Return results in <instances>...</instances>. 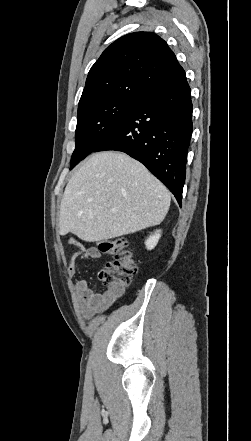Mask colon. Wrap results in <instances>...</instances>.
<instances>
[{"mask_svg":"<svg viewBox=\"0 0 251 441\" xmlns=\"http://www.w3.org/2000/svg\"><path fill=\"white\" fill-rule=\"evenodd\" d=\"M97 247L101 252L111 254L114 258L101 269L99 273L101 282L116 291L124 290L137 272L128 242L118 237L100 241Z\"/></svg>","mask_w":251,"mask_h":441,"instance_id":"1","label":"colon"}]
</instances>
